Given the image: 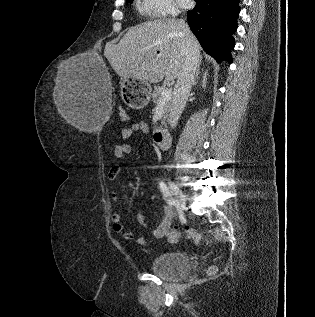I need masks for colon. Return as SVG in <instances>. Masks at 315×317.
I'll list each match as a JSON object with an SVG mask.
<instances>
[{"label":"colon","instance_id":"5ec220e1","mask_svg":"<svg viewBox=\"0 0 315 317\" xmlns=\"http://www.w3.org/2000/svg\"><path fill=\"white\" fill-rule=\"evenodd\" d=\"M120 116L122 119L127 118V114H126L125 110L122 109L120 111ZM184 235L186 238L192 240L195 243H199V241L201 239V235L196 230H194L192 228H187L184 231ZM180 236H181V232L177 228H175V227L171 228L170 233H169V239L171 241H176ZM214 273H215V269L211 268L209 270V274H214Z\"/></svg>","mask_w":315,"mask_h":317}]
</instances>
